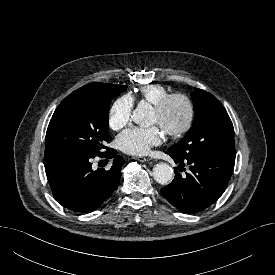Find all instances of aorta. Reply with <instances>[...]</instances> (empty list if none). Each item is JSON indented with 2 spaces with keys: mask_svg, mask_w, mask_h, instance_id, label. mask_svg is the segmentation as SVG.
Segmentation results:
<instances>
[{
  "mask_svg": "<svg viewBox=\"0 0 275 275\" xmlns=\"http://www.w3.org/2000/svg\"><path fill=\"white\" fill-rule=\"evenodd\" d=\"M151 106L148 103L141 102L134 109L132 120L141 126L151 125ZM174 177V171L166 163H158L153 168V178L159 184H167Z\"/></svg>",
  "mask_w": 275,
  "mask_h": 275,
  "instance_id": "aorta-1",
  "label": "aorta"
}]
</instances>
